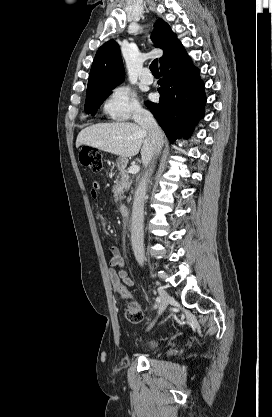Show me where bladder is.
Returning <instances> with one entry per match:
<instances>
[{
    "label": "bladder",
    "mask_w": 272,
    "mask_h": 417,
    "mask_svg": "<svg viewBox=\"0 0 272 417\" xmlns=\"http://www.w3.org/2000/svg\"><path fill=\"white\" fill-rule=\"evenodd\" d=\"M157 346H158L157 341H155V340H151V341H149V342L147 343V345H146V349H147L149 352H153L154 350H156Z\"/></svg>",
    "instance_id": "1"
}]
</instances>
